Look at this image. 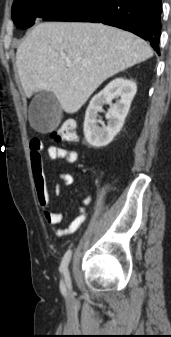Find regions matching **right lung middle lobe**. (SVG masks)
Here are the masks:
<instances>
[{"label":"right lung middle lobe","instance_id":"obj_1","mask_svg":"<svg viewBox=\"0 0 171 337\" xmlns=\"http://www.w3.org/2000/svg\"><path fill=\"white\" fill-rule=\"evenodd\" d=\"M68 0H14L12 19L17 28L31 27L36 20H43Z\"/></svg>","mask_w":171,"mask_h":337}]
</instances>
